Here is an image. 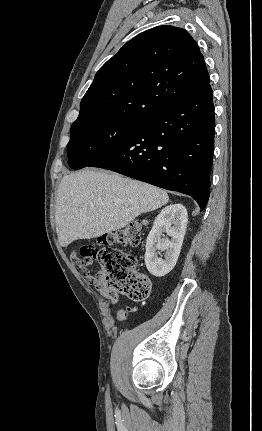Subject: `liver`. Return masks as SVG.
<instances>
[{
	"instance_id": "1",
	"label": "liver",
	"mask_w": 262,
	"mask_h": 431,
	"mask_svg": "<svg viewBox=\"0 0 262 431\" xmlns=\"http://www.w3.org/2000/svg\"><path fill=\"white\" fill-rule=\"evenodd\" d=\"M168 201L166 191L117 173L85 169L65 175L55 207L59 242L66 247L117 231Z\"/></svg>"
}]
</instances>
